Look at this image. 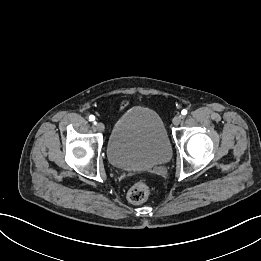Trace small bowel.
I'll return each instance as SVG.
<instances>
[{"instance_id":"c3829d8e","label":"small bowel","mask_w":261,"mask_h":261,"mask_svg":"<svg viewBox=\"0 0 261 261\" xmlns=\"http://www.w3.org/2000/svg\"><path fill=\"white\" fill-rule=\"evenodd\" d=\"M128 105V101H123L121 104V109H124Z\"/></svg>"}]
</instances>
